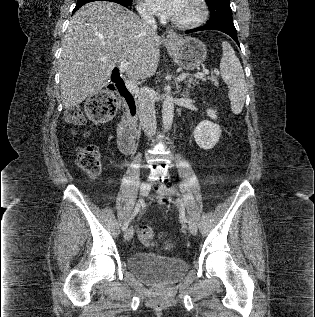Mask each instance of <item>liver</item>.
<instances>
[{"instance_id": "obj_1", "label": "liver", "mask_w": 315, "mask_h": 317, "mask_svg": "<svg viewBox=\"0 0 315 317\" xmlns=\"http://www.w3.org/2000/svg\"><path fill=\"white\" fill-rule=\"evenodd\" d=\"M162 41L144 20L125 7L95 1L70 19L62 39L60 91L64 108L79 105L100 92L123 60L132 81L153 76Z\"/></svg>"}]
</instances>
